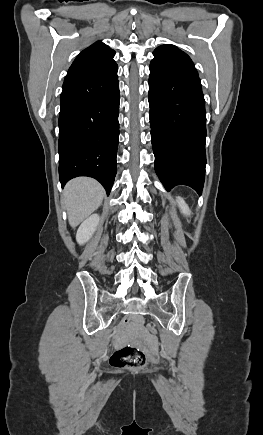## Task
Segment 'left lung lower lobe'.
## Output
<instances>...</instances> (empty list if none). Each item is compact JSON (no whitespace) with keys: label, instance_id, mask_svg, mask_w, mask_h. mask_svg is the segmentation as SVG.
I'll use <instances>...</instances> for the list:
<instances>
[{"label":"left lung lower lobe","instance_id":"obj_1","mask_svg":"<svg viewBox=\"0 0 263 435\" xmlns=\"http://www.w3.org/2000/svg\"><path fill=\"white\" fill-rule=\"evenodd\" d=\"M148 100L156 174L168 191L182 184L201 195L206 112L199 77L152 60Z\"/></svg>","mask_w":263,"mask_h":435}]
</instances>
